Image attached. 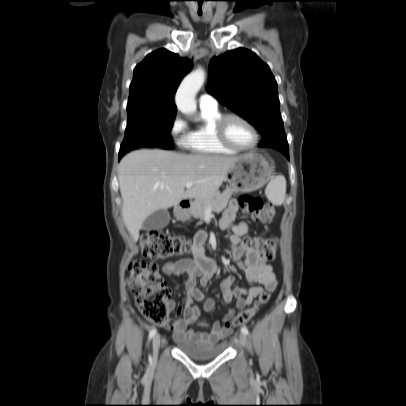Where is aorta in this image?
I'll return each instance as SVG.
<instances>
[{"mask_svg": "<svg viewBox=\"0 0 406 406\" xmlns=\"http://www.w3.org/2000/svg\"><path fill=\"white\" fill-rule=\"evenodd\" d=\"M205 81V73L197 69L188 74L181 82L176 95L177 108L185 115H192L196 112L197 105L195 97Z\"/></svg>", "mask_w": 406, "mask_h": 406, "instance_id": "obj_1", "label": "aorta"}]
</instances>
